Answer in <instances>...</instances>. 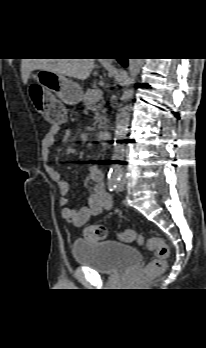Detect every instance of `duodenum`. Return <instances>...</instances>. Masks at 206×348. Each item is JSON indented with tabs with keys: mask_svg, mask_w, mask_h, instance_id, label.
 I'll return each mask as SVG.
<instances>
[{
	"mask_svg": "<svg viewBox=\"0 0 206 348\" xmlns=\"http://www.w3.org/2000/svg\"><path fill=\"white\" fill-rule=\"evenodd\" d=\"M111 136V132L110 131H102L99 134V139L102 141L108 140Z\"/></svg>",
	"mask_w": 206,
	"mask_h": 348,
	"instance_id": "duodenum-1",
	"label": "duodenum"
}]
</instances>
